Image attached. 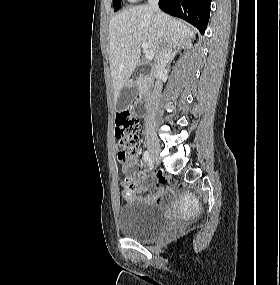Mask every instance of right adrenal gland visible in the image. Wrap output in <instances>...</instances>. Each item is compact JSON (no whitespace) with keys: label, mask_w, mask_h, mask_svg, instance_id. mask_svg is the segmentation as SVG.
<instances>
[{"label":"right adrenal gland","mask_w":280,"mask_h":285,"mask_svg":"<svg viewBox=\"0 0 280 285\" xmlns=\"http://www.w3.org/2000/svg\"><path fill=\"white\" fill-rule=\"evenodd\" d=\"M183 45H184V44H183ZM183 45H182V46H178L177 49H174V51L172 52V56H171V59H170L169 64L173 61V59L175 58V55H176L177 51H178L179 49H181V48L183 47Z\"/></svg>","instance_id":"2a0ac1e0"}]
</instances>
